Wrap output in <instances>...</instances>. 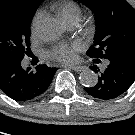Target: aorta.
<instances>
[{
    "mask_svg": "<svg viewBox=\"0 0 135 135\" xmlns=\"http://www.w3.org/2000/svg\"><path fill=\"white\" fill-rule=\"evenodd\" d=\"M36 30L41 39L47 42L58 40L63 32L62 23L55 17H44L36 25ZM80 82L86 87H93L98 82L97 74L91 69H85L80 74Z\"/></svg>",
    "mask_w": 135,
    "mask_h": 135,
    "instance_id": "aorta-1",
    "label": "aorta"
}]
</instances>
